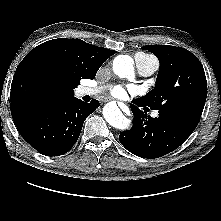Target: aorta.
Here are the masks:
<instances>
[{"mask_svg": "<svg viewBox=\"0 0 221 221\" xmlns=\"http://www.w3.org/2000/svg\"><path fill=\"white\" fill-rule=\"evenodd\" d=\"M113 70L121 78L132 79L134 77L133 61L127 56H118L113 62ZM105 120L113 127L124 130L128 128L130 122L123 115L121 110L114 103H108L103 108Z\"/></svg>", "mask_w": 221, "mask_h": 221, "instance_id": "1", "label": "aorta"}]
</instances>
